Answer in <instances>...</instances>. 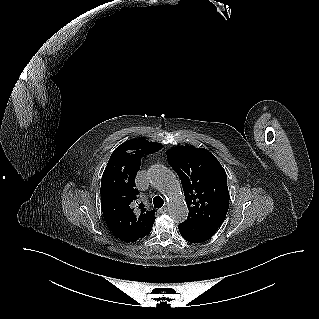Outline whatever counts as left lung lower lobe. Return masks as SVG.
Returning a JSON list of instances; mask_svg holds the SVG:
<instances>
[{
    "instance_id": "left-lung-lower-lobe-1",
    "label": "left lung lower lobe",
    "mask_w": 319,
    "mask_h": 319,
    "mask_svg": "<svg viewBox=\"0 0 319 319\" xmlns=\"http://www.w3.org/2000/svg\"><path fill=\"white\" fill-rule=\"evenodd\" d=\"M219 226L186 220L178 225L182 237L192 243H201L212 237Z\"/></svg>"
}]
</instances>
